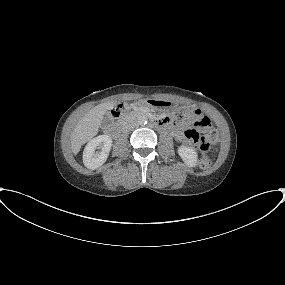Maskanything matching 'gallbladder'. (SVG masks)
<instances>
[{"mask_svg":"<svg viewBox=\"0 0 285 285\" xmlns=\"http://www.w3.org/2000/svg\"><path fill=\"white\" fill-rule=\"evenodd\" d=\"M112 115L110 112H106V114L104 115L103 117V120L102 122L105 123V124H108V123H111L112 122Z\"/></svg>","mask_w":285,"mask_h":285,"instance_id":"bac80fb5","label":"gallbladder"}]
</instances>
